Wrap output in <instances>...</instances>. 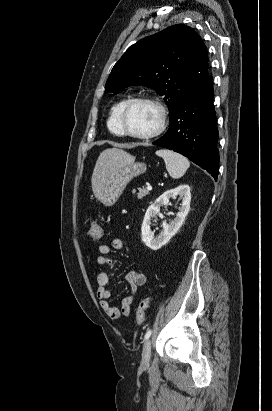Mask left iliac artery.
<instances>
[{
  "label": "left iliac artery",
  "mask_w": 272,
  "mask_h": 411,
  "mask_svg": "<svg viewBox=\"0 0 272 411\" xmlns=\"http://www.w3.org/2000/svg\"><path fill=\"white\" fill-rule=\"evenodd\" d=\"M151 333H152V330L151 329H149L147 332H146V334H145V340H147L150 336H151Z\"/></svg>",
  "instance_id": "44dca946"
}]
</instances>
